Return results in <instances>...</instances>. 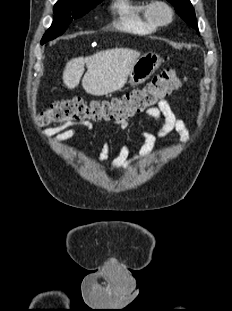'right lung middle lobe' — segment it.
<instances>
[{"label":"right lung middle lobe","instance_id":"dd1d6c3e","mask_svg":"<svg viewBox=\"0 0 232 311\" xmlns=\"http://www.w3.org/2000/svg\"><path fill=\"white\" fill-rule=\"evenodd\" d=\"M102 0H58L54 5V20L51 27L45 32L41 44L50 41L67 29L73 19L85 15L90 9Z\"/></svg>","mask_w":232,"mask_h":311}]
</instances>
